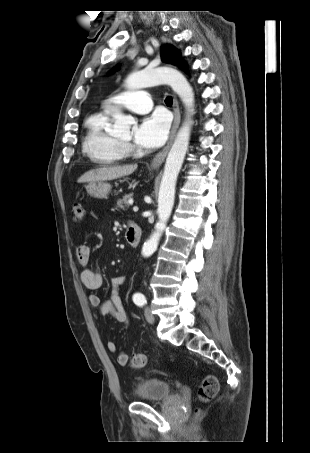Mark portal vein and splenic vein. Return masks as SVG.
Returning <instances> with one entry per match:
<instances>
[{
	"instance_id": "portal-vein-and-splenic-vein-1",
	"label": "portal vein and splenic vein",
	"mask_w": 310,
	"mask_h": 453,
	"mask_svg": "<svg viewBox=\"0 0 310 453\" xmlns=\"http://www.w3.org/2000/svg\"><path fill=\"white\" fill-rule=\"evenodd\" d=\"M129 203L132 204L133 201H129ZM133 211L137 212V211H138V207H137V206H134V207H133Z\"/></svg>"
}]
</instances>
